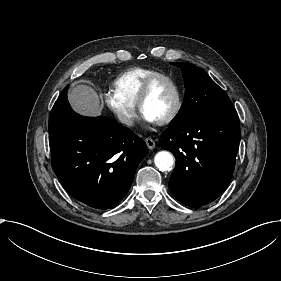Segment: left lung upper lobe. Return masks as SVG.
<instances>
[{
	"label": "left lung upper lobe",
	"instance_id": "5c2ea615",
	"mask_svg": "<svg viewBox=\"0 0 281 281\" xmlns=\"http://www.w3.org/2000/svg\"><path fill=\"white\" fill-rule=\"evenodd\" d=\"M171 64L182 70L185 97L179 113L169 126L234 109L225 91L204 70L190 63L171 62Z\"/></svg>",
	"mask_w": 281,
	"mask_h": 281
}]
</instances>
